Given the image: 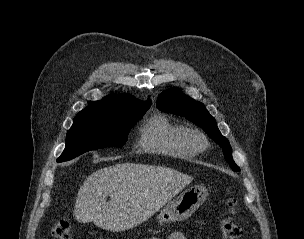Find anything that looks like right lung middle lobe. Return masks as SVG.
Instances as JSON below:
<instances>
[{
  "label": "right lung middle lobe",
  "mask_w": 304,
  "mask_h": 239,
  "mask_svg": "<svg viewBox=\"0 0 304 239\" xmlns=\"http://www.w3.org/2000/svg\"><path fill=\"white\" fill-rule=\"evenodd\" d=\"M149 107L128 108L111 115H78L66 136V147L58 162L73 159L87 151L108 146L121 147L127 133Z\"/></svg>",
  "instance_id": "right-lung-middle-lobe-1"
}]
</instances>
